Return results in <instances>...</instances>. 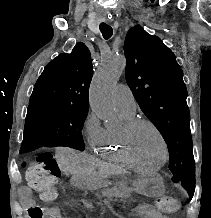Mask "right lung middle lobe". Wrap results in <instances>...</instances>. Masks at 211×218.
Returning a JSON list of instances; mask_svg holds the SVG:
<instances>
[{
  "label": "right lung middle lobe",
  "instance_id": "dd1d6c3e",
  "mask_svg": "<svg viewBox=\"0 0 211 218\" xmlns=\"http://www.w3.org/2000/svg\"><path fill=\"white\" fill-rule=\"evenodd\" d=\"M88 109L71 105H29L24 139L40 145H66L83 151L84 141L81 130Z\"/></svg>",
  "mask_w": 211,
  "mask_h": 218
}]
</instances>
